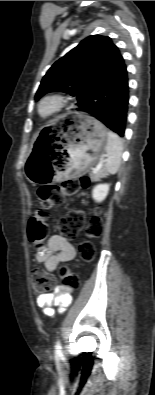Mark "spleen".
I'll return each mask as SVG.
<instances>
[{
	"mask_svg": "<svg viewBox=\"0 0 155 395\" xmlns=\"http://www.w3.org/2000/svg\"><path fill=\"white\" fill-rule=\"evenodd\" d=\"M105 151L108 155L105 172L116 174L121 164L123 144L119 136L112 131L107 132Z\"/></svg>",
	"mask_w": 155,
	"mask_h": 395,
	"instance_id": "spleen-1",
	"label": "spleen"
}]
</instances>
